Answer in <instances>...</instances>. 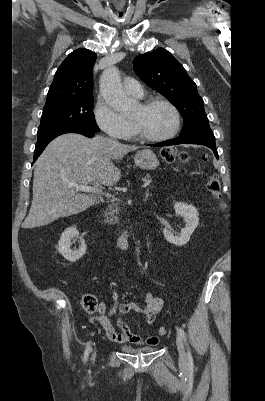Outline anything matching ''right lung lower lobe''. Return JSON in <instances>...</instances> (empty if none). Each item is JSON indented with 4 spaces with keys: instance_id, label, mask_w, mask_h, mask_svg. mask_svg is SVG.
<instances>
[{
    "instance_id": "98d812e1",
    "label": "right lung lower lobe",
    "mask_w": 265,
    "mask_h": 401,
    "mask_svg": "<svg viewBox=\"0 0 265 401\" xmlns=\"http://www.w3.org/2000/svg\"><path fill=\"white\" fill-rule=\"evenodd\" d=\"M65 133H79L86 137H93L95 135L94 132L77 130V129H55V130L49 131L46 134L38 137V141L35 145L34 161H36V159L40 156V154L43 152V150L45 149V147L48 145V143L50 141H52L57 136L65 134Z\"/></svg>"
}]
</instances>
